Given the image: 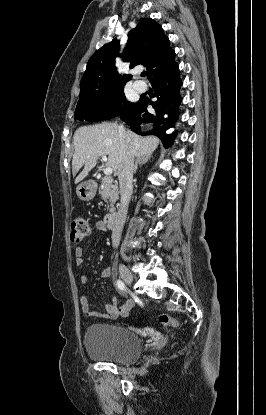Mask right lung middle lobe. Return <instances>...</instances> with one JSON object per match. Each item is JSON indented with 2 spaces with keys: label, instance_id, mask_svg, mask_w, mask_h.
Returning a JSON list of instances; mask_svg holds the SVG:
<instances>
[{
  "label": "right lung middle lobe",
  "instance_id": "right-lung-middle-lobe-1",
  "mask_svg": "<svg viewBox=\"0 0 266 415\" xmlns=\"http://www.w3.org/2000/svg\"><path fill=\"white\" fill-rule=\"evenodd\" d=\"M133 105L125 101L123 86H120L79 98L74 117L86 121L109 120Z\"/></svg>",
  "mask_w": 266,
  "mask_h": 415
}]
</instances>
